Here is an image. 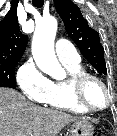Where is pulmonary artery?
I'll return each instance as SVG.
<instances>
[{
    "label": "pulmonary artery",
    "instance_id": "obj_1",
    "mask_svg": "<svg viewBox=\"0 0 117 136\" xmlns=\"http://www.w3.org/2000/svg\"><path fill=\"white\" fill-rule=\"evenodd\" d=\"M55 51L58 59L62 63L80 62L79 54L74 46L67 40L58 39L55 44Z\"/></svg>",
    "mask_w": 117,
    "mask_h": 136
}]
</instances>
